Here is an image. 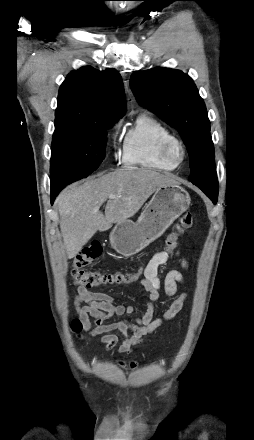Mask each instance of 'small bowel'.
<instances>
[{"label": "small bowel", "instance_id": "1", "mask_svg": "<svg viewBox=\"0 0 254 440\" xmlns=\"http://www.w3.org/2000/svg\"><path fill=\"white\" fill-rule=\"evenodd\" d=\"M172 256L180 257L183 268L187 267V261L180 256L179 252L160 251L155 253L144 269L140 283L149 294L145 312L132 320L109 321L115 316L133 314L136 307L114 303L112 296L93 292L79 286L76 290L74 305L80 321L85 330L92 336H101V343L107 350L118 349L119 353H130L132 347L142 343L144 338L159 328L164 321L174 318L182 309L186 294L179 295L165 311L161 318H154L155 303L163 290L167 295H174L177 286L183 281V275L179 270H171L162 281L158 275V268L166 263ZM90 318L94 319L91 326ZM119 332L123 339L119 343V337L114 334Z\"/></svg>", "mask_w": 254, "mask_h": 440}]
</instances>
